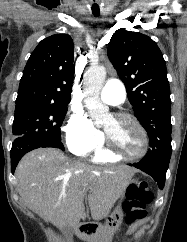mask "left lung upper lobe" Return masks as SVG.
Wrapping results in <instances>:
<instances>
[{
  "label": "left lung upper lobe",
  "mask_w": 187,
  "mask_h": 242,
  "mask_svg": "<svg viewBox=\"0 0 187 242\" xmlns=\"http://www.w3.org/2000/svg\"><path fill=\"white\" fill-rule=\"evenodd\" d=\"M107 53L126 86L137 119L148 132L150 149L141 162L169 163L171 99L160 49L150 37L121 28L113 34Z\"/></svg>",
  "instance_id": "obj_1"
}]
</instances>
